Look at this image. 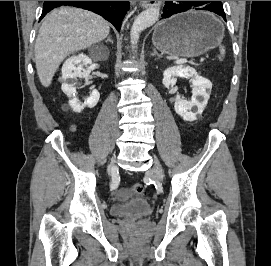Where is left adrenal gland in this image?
I'll return each instance as SVG.
<instances>
[{"mask_svg": "<svg viewBox=\"0 0 271 266\" xmlns=\"http://www.w3.org/2000/svg\"><path fill=\"white\" fill-rule=\"evenodd\" d=\"M152 56H157L158 58H162V55L158 54L156 49H153Z\"/></svg>", "mask_w": 271, "mask_h": 266, "instance_id": "obj_1", "label": "left adrenal gland"}]
</instances>
